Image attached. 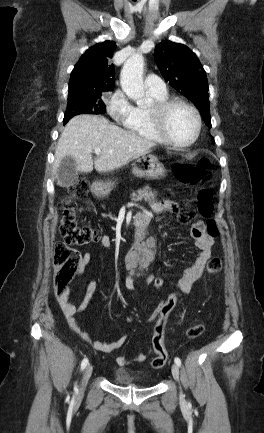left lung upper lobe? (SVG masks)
<instances>
[{
  "instance_id": "left-lung-upper-lobe-1",
  "label": "left lung upper lobe",
  "mask_w": 264,
  "mask_h": 433,
  "mask_svg": "<svg viewBox=\"0 0 264 433\" xmlns=\"http://www.w3.org/2000/svg\"><path fill=\"white\" fill-rule=\"evenodd\" d=\"M155 58L164 79L195 104L211 128L206 72L196 55L183 44L163 41L155 48Z\"/></svg>"
}]
</instances>
